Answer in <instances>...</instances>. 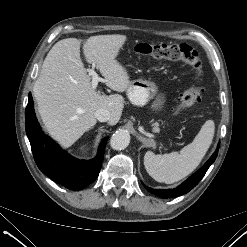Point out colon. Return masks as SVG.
Instances as JSON below:
<instances>
[{
	"label": "colon",
	"mask_w": 247,
	"mask_h": 247,
	"mask_svg": "<svg viewBox=\"0 0 247 247\" xmlns=\"http://www.w3.org/2000/svg\"><path fill=\"white\" fill-rule=\"evenodd\" d=\"M133 51L136 54L153 57L156 59L181 60L188 64L198 74L202 69V63L196 50L187 44H148L139 43ZM203 88L198 81L194 82L180 97L179 105L175 113L178 114L201 98Z\"/></svg>",
	"instance_id": "5ec220e1"
}]
</instances>
